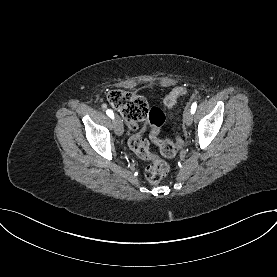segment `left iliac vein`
<instances>
[{"label": "left iliac vein", "instance_id": "obj_1", "mask_svg": "<svg viewBox=\"0 0 277 277\" xmlns=\"http://www.w3.org/2000/svg\"><path fill=\"white\" fill-rule=\"evenodd\" d=\"M193 121V115L191 113V110L189 108H186L183 114V122L185 125L190 126Z\"/></svg>", "mask_w": 277, "mask_h": 277}]
</instances>
